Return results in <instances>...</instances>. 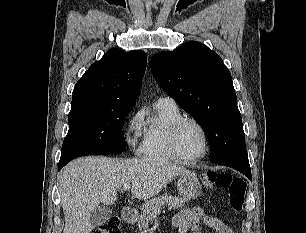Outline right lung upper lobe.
Here are the masks:
<instances>
[{"label":"right lung upper lobe","mask_w":306,"mask_h":233,"mask_svg":"<svg viewBox=\"0 0 306 233\" xmlns=\"http://www.w3.org/2000/svg\"><path fill=\"white\" fill-rule=\"evenodd\" d=\"M147 56L142 51L110 49L90 66L72 93V106L132 107L139 97Z\"/></svg>","instance_id":"obj_1"}]
</instances>
